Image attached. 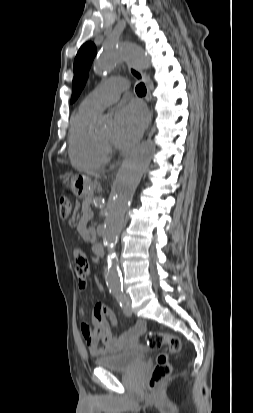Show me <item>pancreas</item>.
Here are the masks:
<instances>
[{
	"label": "pancreas",
	"instance_id": "pancreas-1",
	"mask_svg": "<svg viewBox=\"0 0 253 413\" xmlns=\"http://www.w3.org/2000/svg\"><path fill=\"white\" fill-rule=\"evenodd\" d=\"M93 198H94V195H93L92 193H89V194L85 197V199H84V201H83V204H82L83 210H84V211H87V212L89 213V217H90V218H92V216H93V213H92V212L90 211V209H89V208H90V205H91V203H92ZM90 232H91V234H92V238L90 239V242H91V243H94L95 238H96L95 231H94V229H91Z\"/></svg>",
	"mask_w": 253,
	"mask_h": 413
}]
</instances>
